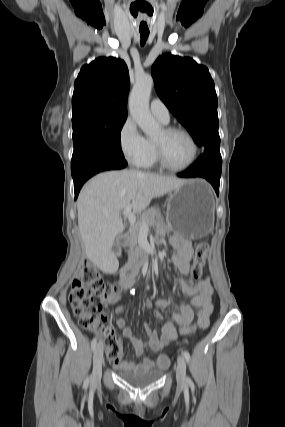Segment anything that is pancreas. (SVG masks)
<instances>
[{
	"mask_svg": "<svg viewBox=\"0 0 285 427\" xmlns=\"http://www.w3.org/2000/svg\"><path fill=\"white\" fill-rule=\"evenodd\" d=\"M144 221L149 227H156L164 224L163 220L160 218L159 208L151 207L150 209L146 210L137 220V222L129 229L128 245L131 247V249L137 248L141 226ZM132 252L133 251L131 250V253Z\"/></svg>",
	"mask_w": 285,
	"mask_h": 427,
	"instance_id": "obj_1",
	"label": "pancreas"
}]
</instances>
